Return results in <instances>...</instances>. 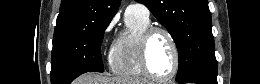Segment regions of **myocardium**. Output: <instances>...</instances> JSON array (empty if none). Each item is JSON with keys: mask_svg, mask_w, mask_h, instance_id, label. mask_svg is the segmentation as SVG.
<instances>
[{"mask_svg": "<svg viewBox=\"0 0 260 84\" xmlns=\"http://www.w3.org/2000/svg\"><path fill=\"white\" fill-rule=\"evenodd\" d=\"M156 33H162L164 34L170 41L172 49H173V55H174V65L172 72L166 76L161 77L156 75L150 68L149 65V44ZM139 53H140V63L141 68L144 74L149 77L150 79L157 81V82H169L173 80L180 69V52L179 47L177 44V41L173 34L167 30L164 27L160 26H149L147 29H145L141 35L140 42H139Z\"/></svg>", "mask_w": 260, "mask_h": 84, "instance_id": "f54148a6", "label": "myocardium"}]
</instances>
